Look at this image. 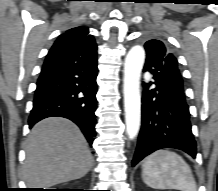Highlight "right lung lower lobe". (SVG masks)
I'll return each instance as SVG.
<instances>
[{
  "label": "right lung lower lobe",
  "mask_w": 218,
  "mask_h": 191,
  "mask_svg": "<svg viewBox=\"0 0 218 191\" xmlns=\"http://www.w3.org/2000/svg\"><path fill=\"white\" fill-rule=\"evenodd\" d=\"M96 77L95 40L60 35L38 78L29 127L47 117H65L80 127L91 145L96 136Z\"/></svg>",
  "instance_id": "right-lung-lower-lobe-1"
}]
</instances>
